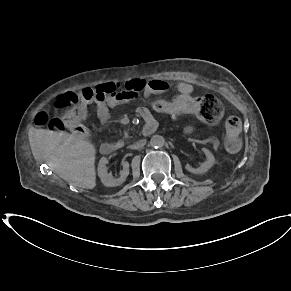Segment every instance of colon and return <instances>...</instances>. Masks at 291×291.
Returning <instances> with one entry per match:
<instances>
[{
	"instance_id": "5ec220e1",
	"label": "colon",
	"mask_w": 291,
	"mask_h": 291,
	"mask_svg": "<svg viewBox=\"0 0 291 291\" xmlns=\"http://www.w3.org/2000/svg\"><path fill=\"white\" fill-rule=\"evenodd\" d=\"M119 89L112 82L99 83L95 88H84L79 92H63L57 95L52 103L51 110L61 112L60 116H50L49 110L40 111L35 117L37 126H45L49 130L63 131L69 129L77 138H85L87 128L82 120L88 105L112 97ZM152 104L156 110L171 114L188 116L198 114L199 118L207 124H215L222 115L219 101L211 95L201 98H163L154 99ZM226 147L236 151L239 147V134L241 121L230 116L225 121Z\"/></svg>"
}]
</instances>
